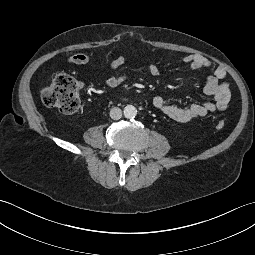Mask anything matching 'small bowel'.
Listing matches in <instances>:
<instances>
[{
    "label": "small bowel",
    "mask_w": 255,
    "mask_h": 255,
    "mask_svg": "<svg viewBox=\"0 0 255 255\" xmlns=\"http://www.w3.org/2000/svg\"><path fill=\"white\" fill-rule=\"evenodd\" d=\"M90 57L85 53L75 54L69 57L71 64H86ZM126 62L125 56H119L107 65L108 70H116ZM183 62L194 70L213 69V73L208 77L204 87V93L212 96V101L191 104L187 107H177L169 104L166 99L160 95L152 99L153 106L165 114L168 118L178 122H188L193 119L203 117L208 113L222 111L227 108L230 101V88L227 82H221L226 77V70L222 66H214L209 60L198 54H186ZM147 72L150 76L159 75V68L155 64H149ZM129 79L128 75L121 74L108 77L105 85L109 88H116Z\"/></svg>",
    "instance_id": "1"
}]
</instances>
